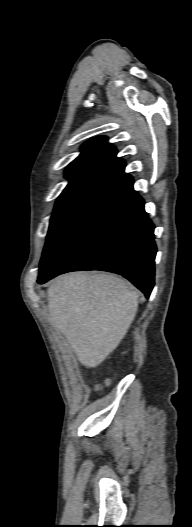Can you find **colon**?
I'll return each instance as SVG.
<instances>
[{
    "label": "colon",
    "mask_w": 192,
    "mask_h": 527,
    "mask_svg": "<svg viewBox=\"0 0 192 527\" xmlns=\"http://www.w3.org/2000/svg\"><path fill=\"white\" fill-rule=\"evenodd\" d=\"M109 384H110V381H109V380H106V381L104 382V384H98V385L96 386V388H97V390H102L105 386H108Z\"/></svg>",
    "instance_id": "5ec220e1"
}]
</instances>
